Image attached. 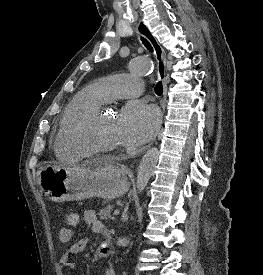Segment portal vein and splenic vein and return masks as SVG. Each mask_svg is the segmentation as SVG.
Segmentation results:
<instances>
[{
  "instance_id": "18ae733b",
  "label": "portal vein and splenic vein",
  "mask_w": 263,
  "mask_h": 275,
  "mask_svg": "<svg viewBox=\"0 0 263 275\" xmlns=\"http://www.w3.org/2000/svg\"><path fill=\"white\" fill-rule=\"evenodd\" d=\"M119 214V209H116V210H114V212H113V215H118Z\"/></svg>"
}]
</instances>
